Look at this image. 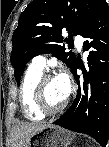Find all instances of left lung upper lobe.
<instances>
[{
  "instance_id": "left-lung-upper-lobe-1",
  "label": "left lung upper lobe",
  "mask_w": 109,
  "mask_h": 147,
  "mask_svg": "<svg viewBox=\"0 0 109 147\" xmlns=\"http://www.w3.org/2000/svg\"><path fill=\"white\" fill-rule=\"evenodd\" d=\"M105 0H33L20 15L13 33L11 63L15 78L20 82L28 61L34 56L51 53L72 71L78 60L62 45L70 43L73 35L82 34ZM69 38L62 37V31ZM103 76L97 72L89 76V86L94 93L101 88Z\"/></svg>"
}]
</instances>
